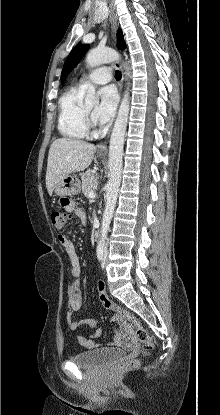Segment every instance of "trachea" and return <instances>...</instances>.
<instances>
[{
  "label": "trachea",
  "mask_w": 220,
  "mask_h": 415,
  "mask_svg": "<svg viewBox=\"0 0 220 415\" xmlns=\"http://www.w3.org/2000/svg\"><path fill=\"white\" fill-rule=\"evenodd\" d=\"M121 77H122L121 72L119 70H116L115 71V78H116V80H120Z\"/></svg>",
  "instance_id": "obj_1"
}]
</instances>
